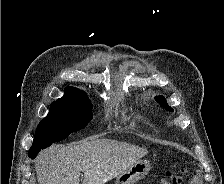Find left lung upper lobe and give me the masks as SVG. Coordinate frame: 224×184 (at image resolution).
<instances>
[{"label": "left lung upper lobe", "instance_id": "obj_1", "mask_svg": "<svg viewBox=\"0 0 224 184\" xmlns=\"http://www.w3.org/2000/svg\"><path fill=\"white\" fill-rule=\"evenodd\" d=\"M155 100L160 103V105H162L165 109L173 112V109L167 104L166 100L164 99L163 96H156Z\"/></svg>", "mask_w": 224, "mask_h": 184}]
</instances>
